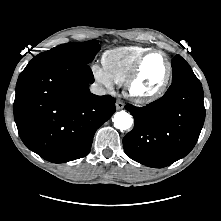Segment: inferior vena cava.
<instances>
[{"label": "inferior vena cava", "mask_w": 221, "mask_h": 221, "mask_svg": "<svg viewBox=\"0 0 221 221\" xmlns=\"http://www.w3.org/2000/svg\"><path fill=\"white\" fill-rule=\"evenodd\" d=\"M90 91L95 95H105L107 93L106 89L97 83L91 84Z\"/></svg>", "instance_id": "602c4592"}]
</instances>
